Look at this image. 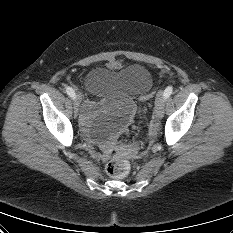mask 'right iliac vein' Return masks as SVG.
I'll return each instance as SVG.
<instances>
[{
  "instance_id": "right-iliac-vein-1",
  "label": "right iliac vein",
  "mask_w": 233,
  "mask_h": 233,
  "mask_svg": "<svg viewBox=\"0 0 233 233\" xmlns=\"http://www.w3.org/2000/svg\"><path fill=\"white\" fill-rule=\"evenodd\" d=\"M81 99H82L81 95L79 93H77L75 95V98H74V113H75V116H77Z\"/></svg>"
}]
</instances>
